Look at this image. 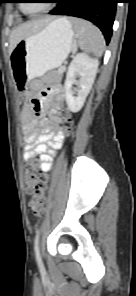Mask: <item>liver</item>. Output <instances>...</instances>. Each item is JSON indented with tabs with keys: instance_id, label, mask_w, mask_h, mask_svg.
I'll use <instances>...</instances> for the list:
<instances>
[{
	"instance_id": "1",
	"label": "liver",
	"mask_w": 136,
	"mask_h": 296,
	"mask_svg": "<svg viewBox=\"0 0 136 296\" xmlns=\"http://www.w3.org/2000/svg\"><path fill=\"white\" fill-rule=\"evenodd\" d=\"M51 19H52L51 17H46V18L28 21L18 26L16 29H14L9 39L10 51L11 52L13 51V49L15 48L16 44L19 41H21L22 39H25L26 37L36 33L37 31L45 27L51 21Z\"/></svg>"
}]
</instances>
